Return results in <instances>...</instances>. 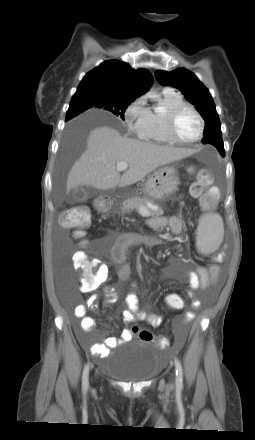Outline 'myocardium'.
<instances>
[{"instance_id": "1", "label": "myocardium", "mask_w": 255, "mask_h": 440, "mask_svg": "<svg viewBox=\"0 0 255 440\" xmlns=\"http://www.w3.org/2000/svg\"><path fill=\"white\" fill-rule=\"evenodd\" d=\"M186 110L193 112L197 116V118L199 120V124H200L198 135L194 139L189 140V141H185V140L180 139L176 133L177 119H178L179 115ZM165 125H166V132H167L169 139L172 141V143H176V144H180V145H192V144L197 143L198 141H200L202 139V137L204 135V130H205V120H204L203 116L196 108H194L193 106H191L189 104H183V105L177 106V107L173 108L172 110H170L166 114Z\"/></svg>"}]
</instances>
